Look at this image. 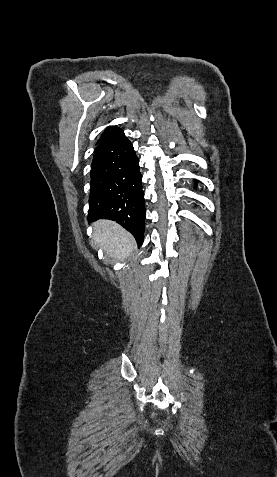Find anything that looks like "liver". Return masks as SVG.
Returning <instances> with one entry per match:
<instances>
[{"label":"liver","instance_id":"obj_1","mask_svg":"<svg viewBox=\"0 0 277 477\" xmlns=\"http://www.w3.org/2000/svg\"><path fill=\"white\" fill-rule=\"evenodd\" d=\"M92 240L111 257L123 260L130 256L134 247L132 236L119 224L110 220H99L93 224Z\"/></svg>","mask_w":277,"mask_h":477}]
</instances>
